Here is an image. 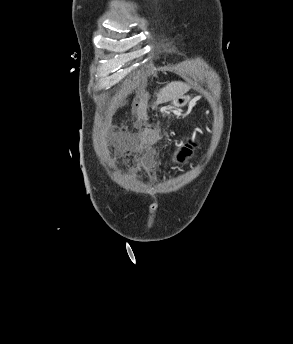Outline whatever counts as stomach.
Here are the masks:
<instances>
[{"instance_id":"0dacf381","label":"stomach","mask_w":293,"mask_h":344,"mask_svg":"<svg viewBox=\"0 0 293 344\" xmlns=\"http://www.w3.org/2000/svg\"><path fill=\"white\" fill-rule=\"evenodd\" d=\"M190 101V97L189 96H186V95H183V96H180L174 100L171 101V107L173 108H182L184 107L185 105H187V103Z\"/></svg>"}]
</instances>
